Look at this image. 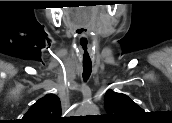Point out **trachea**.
I'll return each instance as SVG.
<instances>
[{"instance_id": "3493384b", "label": "trachea", "mask_w": 172, "mask_h": 123, "mask_svg": "<svg viewBox=\"0 0 172 123\" xmlns=\"http://www.w3.org/2000/svg\"><path fill=\"white\" fill-rule=\"evenodd\" d=\"M87 56L89 58V54L87 52V48L85 49L84 57ZM92 72V62L84 63L83 62V79L86 81L90 77Z\"/></svg>"}]
</instances>
